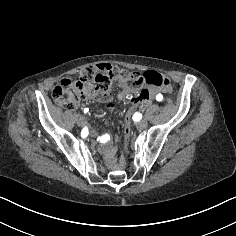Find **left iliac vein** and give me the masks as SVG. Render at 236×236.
I'll use <instances>...</instances> for the list:
<instances>
[{
	"label": "left iliac vein",
	"instance_id": "left-iliac-vein-1",
	"mask_svg": "<svg viewBox=\"0 0 236 236\" xmlns=\"http://www.w3.org/2000/svg\"><path fill=\"white\" fill-rule=\"evenodd\" d=\"M147 126V121L146 120H141L140 123H135V128L138 131H143Z\"/></svg>",
	"mask_w": 236,
	"mask_h": 236
}]
</instances>
